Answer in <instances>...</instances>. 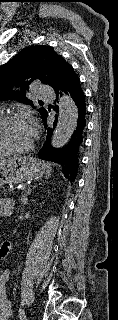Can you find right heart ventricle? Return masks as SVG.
Here are the masks:
<instances>
[{
	"label": "right heart ventricle",
	"instance_id": "obj_1",
	"mask_svg": "<svg viewBox=\"0 0 118 320\" xmlns=\"http://www.w3.org/2000/svg\"><path fill=\"white\" fill-rule=\"evenodd\" d=\"M0 117H1V113H0ZM7 153L4 152L1 148H0V158L4 157Z\"/></svg>",
	"mask_w": 118,
	"mask_h": 320
}]
</instances>
